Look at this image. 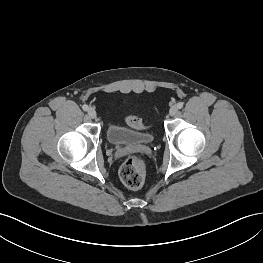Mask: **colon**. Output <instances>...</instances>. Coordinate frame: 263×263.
<instances>
[{
	"mask_svg": "<svg viewBox=\"0 0 263 263\" xmlns=\"http://www.w3.org/2000/svg\"><path fill=\"white\" fill-rule=\"evenodd\" d=\"M128 124L133 128H142L141 121L136 117H130ZM146 166L144 160L137 155L128 156L122 163L119 175L121 181L129 188L135 189L142 186L145 179Z\"/></svg>",
	"mask_w": 263,
	"mask_h": 263,
	"instance_id": "1",
	"label": "colon"
}]
</instances>
